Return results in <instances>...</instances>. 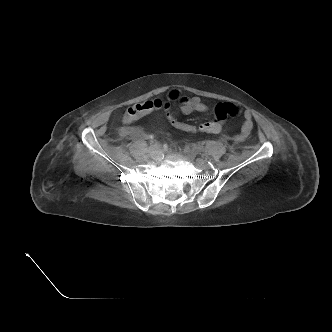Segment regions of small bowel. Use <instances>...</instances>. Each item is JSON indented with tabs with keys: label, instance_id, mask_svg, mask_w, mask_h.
I'll return each mask as SVG.
<instances>
[{
	"label": "small bowel",
	"instance_id": "1",
	"mask_svg": "<svg viewBox=\"0 0 332 332\" xmlns=\"http://www.w3.org/2000/svg\"><path fill=\"white\" fill-rule=\"evenodd\" d=\"M173 98L178 97V93L174 92L171 95ZM180 110L184 115H190L193 112H200L204 113L209 110V107L201 100L199 96H192V97H180ZM253 128V122L251 119V115L249 112L244 113V121L241 126L239 139L246 138Z\"/></svg>",
	"mask_w": 332,
	"mask_h": 332
}]
</instances>
